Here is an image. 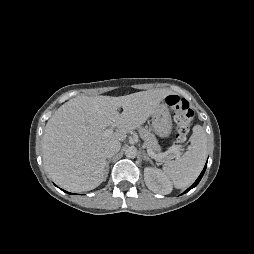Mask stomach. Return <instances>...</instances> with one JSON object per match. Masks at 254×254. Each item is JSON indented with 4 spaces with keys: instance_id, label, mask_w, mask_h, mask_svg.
Returning a JSON list of instances; mask_svg holds the SVG:
<instances>
[{
    "instance_id": "1",
    "label": "stomach",
    "mask_w": 254,
    "mask_h": 254,
    "mask_svg": "<svg viewBox=\"0 0 254 254\" xmlns=\"http://www.w3.org/2000/svg\"><path fill=\"white\" fill-rule=\"evenodd\" d=\"M152 128L159 137H168L172 131V119L166 104H160L152 114Z\"/></svg>"
}]
</instances>
